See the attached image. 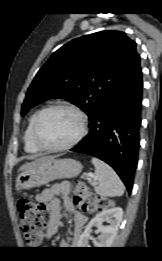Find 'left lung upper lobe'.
Segmentation results:
<instances>
[{"instance_id": "obj_1", "label": "left lung upper lobe", "mask_w": 162, "mask_h": 261, "mask_svg": "<svg viewBox=\"0 0 162 261\" xmlns=\"http://www.w3.org/2000/svg\"><path fill=\"white\" fill-rule=\"evenodd\" d=\"M139 67L136 43L122 31L73 39L38 71L26 93L21 115L41 101L63 98L90 118L111 91Z\"/></svg>"}]
</instances>
